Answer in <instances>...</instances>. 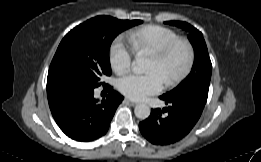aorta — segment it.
<instances>
[{
    "instance_id": "aorta-1",
    "label": "aorta",
    "mask_w": 261,
    "mask_h": 162,
    "mask_svg": "<svg viewBox=\"0 0 261 162\" xmlns=\"http://www.w3.org/2000/svg\"><path fill=\"white\" fill-rule=\"evenodd\" d=\"M144 66H145V59L138 56L135 61L134 71L136 73H141L144 69ZM150 112L151 110L149 106H147L146 104H139L134 109L135 116L141 120H145L146 118H148L150 116Z\"/></svg>"
}]
</instances>
